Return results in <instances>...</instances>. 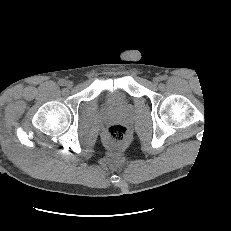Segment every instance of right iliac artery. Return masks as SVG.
I'll return each mask as SVG.
<instances>
[{"instance_id": "obj_1", "label": "right iliac artery", "mask_w": 231, "mask_h": 231, "mask_svg": "<svg viewBox=\"0 0 231 231\" xmlns=\"http://www.w3.org/2000/svg\"><path fill=\"white\" fill-rule=\"evenodd\" d=\"M65 83H66V82H65V80H64V79L59 80V85H60V86H64V85H65Z\"/></svg>"}]
</instances>
